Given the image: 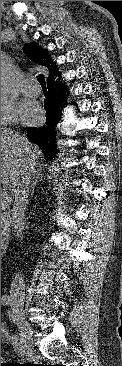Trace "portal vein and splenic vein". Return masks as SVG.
<instances>
[{
  "instance_id": "18ae733b",
  "label": "portal vein and splenic vein",
  "mask_w": 122,
  "mask_h": 366,
  "mask_svg": "<svg viewBox=\"0 0 122 366\" xmlns=\"http://www.w3.org/2000/svg\"><path fill=\"white\" fill-rule=\"evenodd\" d=\"M1 196L5 199V200H7V201H9V200H11V198H10V196H9V194H8V192L7 191H2L1 190Z\"/></svg>"
}]
</instances>
